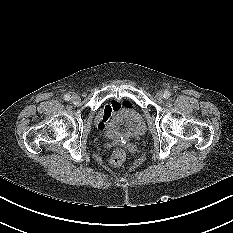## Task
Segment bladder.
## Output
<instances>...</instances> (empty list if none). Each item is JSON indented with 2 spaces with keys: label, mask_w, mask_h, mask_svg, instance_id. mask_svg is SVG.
Here are the masks:
<instances>
[{
  "label": "bladder",
  "mask_w": 233,
  "mask_h": 233,
  "mask_svg": "<svg viewBox=\"0 0 233 233\" xmlns=\"http://www.w3.org/2000/svg\"><path fill=\"white\" fill-rule=\"evenodd\" d=\"M146 132L142 115L133 107H124L107 124L105 134L111 139L139 137Z\"/></svg>",
  "instance_id": "1"
}]
</instances>
